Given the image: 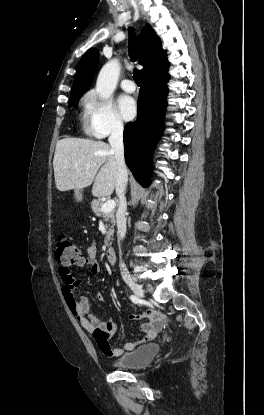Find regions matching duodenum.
<instances>
[{
    "mask_svg": "<svg viewBox=\"0 0 264 415\" xmlns=\"http://www.w3.org/2000/svg\"><path fill=\"white\" fill-rule=\"evenodd\" d=\"M115 249L113 246L108 247L107 252H106V261L109 265H114L115 264Z\"/></svg>",
    "mask_w": 264,
    "mask_h": 415,
    "instance_id": "duodenum-1",
    "label": "duodenum"
}]
</instances>
